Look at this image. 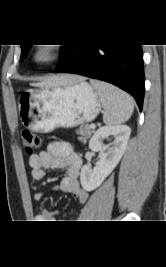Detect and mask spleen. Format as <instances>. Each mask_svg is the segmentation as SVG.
<instances>
[{
  "label": "spleen",
  "mask_w": 166,
  "mask_h": 267,
  "mask_svg": "<svg viewBox=\"0 0 166 267\" xmlns=\"http://www.w3.org/2000/svg\"><path fill=\"white\" fill-rule=\"evenodd\" d=\"M90 83L100 97L106 125H119L130 118L134 110V101L130 95L105 82L90 80Z\"/></svg>",
  "instance_id": "1"
}]
</instances>
